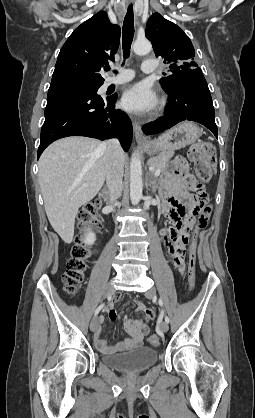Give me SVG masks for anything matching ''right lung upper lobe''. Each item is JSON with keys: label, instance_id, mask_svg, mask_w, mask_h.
Segmentation results:
<instances>
[{"label": "right lung upper lobe", "instance_id": "right-lung-upper-lobe-1", "mask_svg": "<svg viewBox=\"0 0 255 418\" xmlns=\"http://www.w3.org/2000/svg\"><path fill=\"white\" fill-rule=\"evenodd\" d=\"M120 27L111 24L105 11L77 27L60 50L49 89L73 84H103L99 71L114 60Z\"/></svg>", "mask_w": 255, "mask_h": 418}]
</instances>
